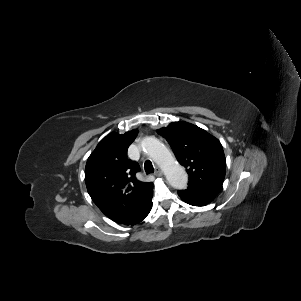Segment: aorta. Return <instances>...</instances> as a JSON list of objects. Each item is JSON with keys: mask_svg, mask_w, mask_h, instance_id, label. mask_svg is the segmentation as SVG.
Masks as SVG:
<instances>
[{"mask_svg": "<svg viewBox=\"0 0 301 301\" xmlns=\"http://www.w3.org/2000/svg\"><path fill=\"white\" fill-rule=\"evenodd\" d=\"M144 152L163 170L169 184L176 189L187 187L188 176L166 146L155 137H145L141 143Z\"/></svg>", "mask_w": 301, "mask_h": 301, "instance_id": "1", "label": "aorta"}]
</instances>
